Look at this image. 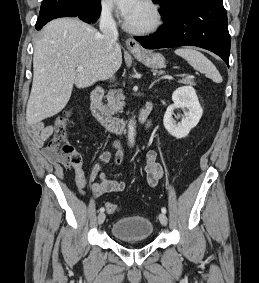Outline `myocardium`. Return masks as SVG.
Segmentation results:
<instances>
[{
    "mask_svg": "<svg viewBox=\"0 0 259 283\" xmlns=\"http://www.w3.org/2000/svg\"><path fill=\"white\" fill-rule=\"evenodd\" d=\"M152 11L153 21L150 25L145 27H134L127 20L124 21L123 26L126 31L134 35H148L156 32L163 25V14L160 6L154 0H142Z\"/></svg>",
    "mask_w": 259,
    "mask_h": 283,
    "instance_id": "myocardium-1",
    "label": "myocardium"
}]
</instances>
